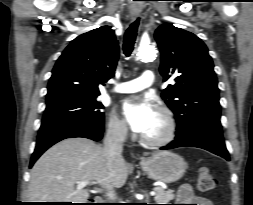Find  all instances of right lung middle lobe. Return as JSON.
Segmentation results:
<instances>
[{"label":"right lung middle lobe","instance_id":"dd1d6c3e","mask_svg":"<svg viewBox=\"0 0 253 205\" xmlns=\"http://www.w3.org/2000/svg\"><path fill=\"white\" fill-rule=\"evenodd\" d=\"M98 95H75L47 101L43 120L75 119L89 122H103V105L96 100Z\"/></svg>","mask_w":253,"mask_h":205}]
</instances>
